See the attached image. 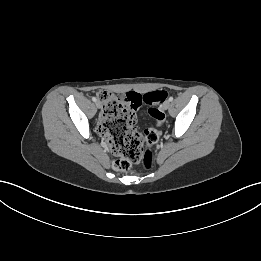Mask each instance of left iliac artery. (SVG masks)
Listing matches in <instances>:
<instances>
[{
	"mask_svg": "<svg viewBox=\"0 0 261 261\" xmlns=\"http://www.w3.org/2000/svg\"><path fill=\"white\" fill-rule=\"evenodd\" d=\"M169 101L171 102V101H173V97L171 96V97H169Z\"/></svg>",
	"mask_w": 261,
	"mask_h": 261,
	"instance_id": "obj_1",
	"label": "left iliac artery"
}]
</instances>
